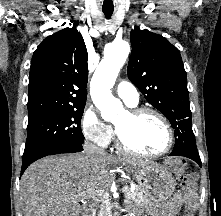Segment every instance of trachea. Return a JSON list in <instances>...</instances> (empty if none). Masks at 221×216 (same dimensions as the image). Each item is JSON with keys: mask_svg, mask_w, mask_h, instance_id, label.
Wrapping results in <instances>:
<instances>
[{"mask_svg": "<svg viewBox=\"0 0 221 216\" xmlns=\"http://www.w3.org/2000/svg\"><path fill=\"white\" fill-rule=\"evenodd\" d=\"M103 13L105 14V16H106L107 18H110L111 15H112V13H113V11H112V10H110V11L103 10Z\"/></svg>", "mask_w": 221, "mask_h": 216, "instance_id": "1", "label": "trachea"}]
</instances>
